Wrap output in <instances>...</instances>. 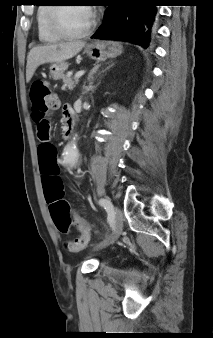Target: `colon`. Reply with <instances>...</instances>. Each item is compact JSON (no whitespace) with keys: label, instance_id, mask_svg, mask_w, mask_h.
<instances>
[{"label":"colon","instance_id":"5ec220e1","mask_svg":"<svg viewBox=\"0 0 213 338\" xmlns=\"http://www.w3.org/2000/svg\"><path fill=\"white\" fill-rule=\"evenodd\" d=\"M30 102L32 118L37 124V137L42 140V142H48L51 138V127L50 124L44 122V120L58 109V104L46 80H38L32 84ZM41 151L46 157H49L56 151V148L51 145H44L41 147ZM69 212L70 206L65 200L51 207L52 217L59 227H65L67 225ZM90 231V226H83L81 235L78 238L65 243L66 250L71 253L83 250L89 242Z\"/></svg>","mask_w":213,"mask_h":338}]
</instances>
